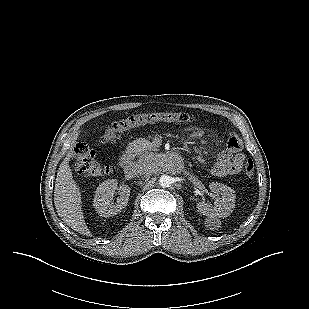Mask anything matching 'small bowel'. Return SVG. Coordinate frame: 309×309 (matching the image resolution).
Here are the masks:
<instances>
[{"instance_id": "1", "label": "small bowel", "mask_w": 309, "mask_h": 309, "mask_svg": "<svg viewBox=\"0 0 309 309\" xmlns=\"http://www.w3.org/2000/svg\"><path fill=\"white\" fill-rule=\"evenodd\" d=\"M202 136V130L194 129L191 132L193 139H200ZM233 137L235 136L230 137V139ZM245 158L246 156L241 148H235L234 145L228 143V147L219 154L211 170L212 174L219 177L237 175L243 168Z\"/></svg>"}]
</instances>
